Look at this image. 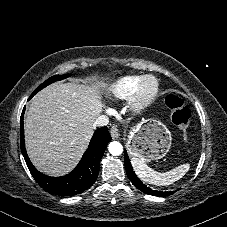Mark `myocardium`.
Wrapping results in <instances>:
<instances>
[{
	"label": "myocardium",
	"instance_id": "myocardium-1",
	"mask_svg": "<svg viewBox=\"0 0 227 227\" xmlns=\"http://www.w3.org/2000/svg\"><path fill=\"white\" fill-rule=\"evenodd\" d=\"M158 82L151 76H143L139 80L130 97L129 110L133 113L143 112L157 97Z\"/></svg>",
	"mask_w": 227,
	"mask_h": 227
}]
</instances>
